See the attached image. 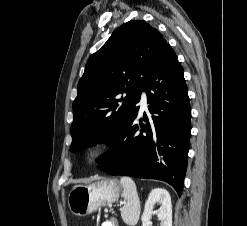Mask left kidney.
<instances>
[{"label": "left kidney", "mask_w": 247, "mask_h": 226, "mask_svg": "<svg viewBox=\"0 0 247 226\" xmlns=\"http://www.w3.org/2000/svg\"><path fill=\"white\" fill-rule=\"evenodd\" d=\"M156 203H160L161 207L157 211H153ZM154 213H157L160 226H172V204L167 190L156 188L150 192L142 215V226H151L150 219Z\"/></svg>", "instance_id": "left-kidney-1"}]
</instances>
